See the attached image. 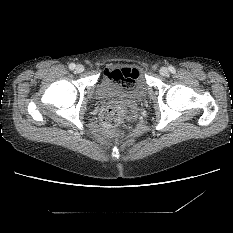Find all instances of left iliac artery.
Wrapping results in <instances>:
<instances>
[{
    "label": "left iliac artery",
    "instance_id": "left-iliac-artery-1",
    "mask_svg": "<svg viewBox=\"0 0 233 233\" xmlns=\"http://www.w3.org/2000/svg\"><path fill=\"white\" fill-rule=\"evenodd\" d=\"M168 69H169V71L172 72V73L175 71V69H174L173 66H170Z\"/></svg>",
    "mask_w": 233,
    "mask_h": 233
}]
</instances>
